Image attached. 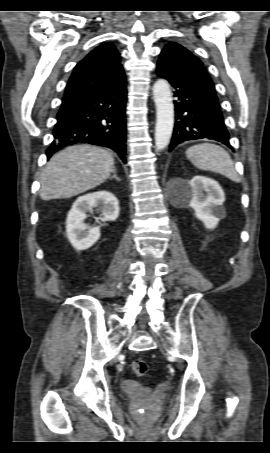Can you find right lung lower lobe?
Returning a JSON list of instances; mask_svg holds the SVG:
<instances>
[{
  "instance_id": "1",
  "label": "right lung lower lobe",
  "mask_w": 270,
  "mask_h": 453,
  "mask_svg": "<svg viewBox=\"0 0 270 453\" xmlns=\"http://www.w3.org/2000/svg\"><path fill=\"white\" fill-rule=\"evenodd\" d=\"M126 93L123 74L100 90L64 96L47 158L66 146L89 143L113 149L125 162Z\"/></svg>"
}]
</instances>
